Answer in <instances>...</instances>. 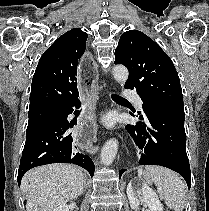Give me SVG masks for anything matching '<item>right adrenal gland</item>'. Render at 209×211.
Returning a JSON list of instances; mask_svg holds the SVG:
<instances>
[{"label":"right adrenal gland","mask_w":209,"mask_h":211,"mask_svg":"<svg viewBox=\"0 0 209 211\" xmlns=\"http://www.w3.org/2000/svg\"><path fill=\"white\" fill-rule=\"evenodd\" d=\"M87 189V183L86 180H84V188H83V193L85 192V190Z\"/></svg>","instance_id":"right-adrenal-gland-1"}]
</instances>
